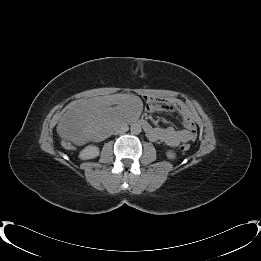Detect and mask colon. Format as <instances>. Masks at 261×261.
<instances>
[{"label": "colon", "mask_w": 261, "mask_h": 261, "mask_svg": "<svg viewBox=\"0 0 261 261\" xmlns=\"http://www.w3.org/2000/svg\"><path fill=\"white\" fill-rule=\"evenodd\" d=\"M180 151L186 152L190 149V145L188 143H182L179 147Z\"/></svg>", "instance_id": "colon-1"}]
</instances>
